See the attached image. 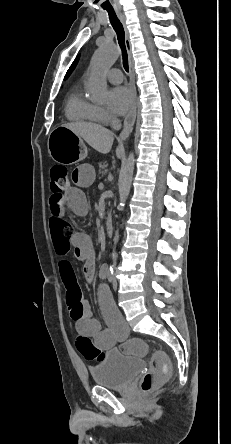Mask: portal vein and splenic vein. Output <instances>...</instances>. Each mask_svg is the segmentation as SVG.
<instances>
[{"instance_id":"obj_1","label":"portal vein and splenic vein","mask_w":231,"mask_h":444,"mask_svg":"<svg viewBox=\"0 0 231 444\" xmlns=\"http://www.w3.org/2000/svg\"><path fill=\"white\" fill-rule=\"evenodd\" d=\"M100 187H102V188H103V184H102V183L100 184Z\"/></svg>"}]
</instances>
